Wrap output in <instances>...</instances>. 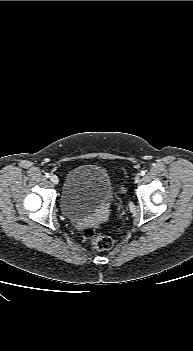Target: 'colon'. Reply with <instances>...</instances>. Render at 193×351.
I'll return each mask as SVG.
<instances>
[{
  "instance_id": "5ec220e1",
  "label": "colon",
  "mask_w": 193,
  "mask_h": 351,
  "mask_svg": "<svg viewBox=\"0 0 193 351\" xmlns=\"http://www.w3.org/2000/svg\"><path fill=\"white\" fill-rule=\"evenodd\" d=\"M84 237L90 242L93 248L98 251L109 250L113 246L112 239L98 232L93 227H87L83 230Z\"/></svg>"
}]
</instances>
